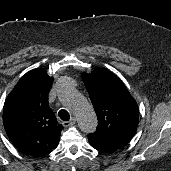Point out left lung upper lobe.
<instances>
[{
	"label": "left lung upper lobe",
	"instance_id": "left-lung-upper-lobe-1",
	"mask_svg": "<svg viewBox=\"0 0 171 171\" xmlns=\"http://www.w3.org/2000/svg\"><path fill=\"white\" fill-rule=\"evenodd\" d=\"M98 118V126L88 139L113 149L124 147L134 136L139 109L126 86L112 72L96 69L82 75Z\"/></svg>",
	"mask_w": 171,
	"mask_h": 171
}]
</instances>
